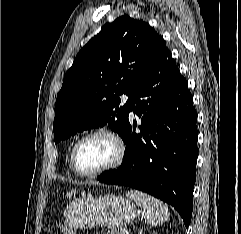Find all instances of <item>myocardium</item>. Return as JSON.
<instances>
[{"label": "myocardium", "instance_id": "1", "mask_svg": "<svg viewBox=\"0 0 241 234\" xmlns=\"http://www.w3.org/2000/svg\"><path fill=\"white\" fill-rule=\"evenodd\" d=\"M97 135L107 136L108 138H110L113 141V143L115 144V147H116V155H115L114 159L107 165H105L95 171H92V172H83L78 168V165H77L78 148L85 140H87L90 137L97 136ZM125 153H126V146H125V143H124L122 137L118 133H116L115 131H113L109 128L99 127V128L93 129V130L85 133L83 136H81L76 141V143L74 144V146L72 148L71 155H70L71 168L80 177H85V178L96 177L102 173H105L107 171L117 168L123 162Z\"/></svg>", "mask_w": 241, "mask_h": 234}]
</instances>
